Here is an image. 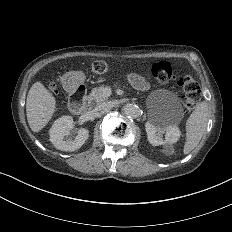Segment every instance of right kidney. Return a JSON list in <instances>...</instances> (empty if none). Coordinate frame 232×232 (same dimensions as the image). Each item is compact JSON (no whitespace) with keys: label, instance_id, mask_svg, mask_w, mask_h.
<instances>
[{"label":"right kidney","instance_id":"ca27d5eb","mask_svg":"<svg viewBox=\"0 0 232 232\" xmlns=\"http://www.w3.org/2000/svg\"><path fill=\"white\" fill-rule=\"evenodd\" d=\"M73 129V118L62 116L58 118L50 128V141L56 149L61 151H75L79 149L89 137V131L81 128L77 135L71 131Z\"/></svg>","mask_w":232,"mask_h":232}]
</instances>
